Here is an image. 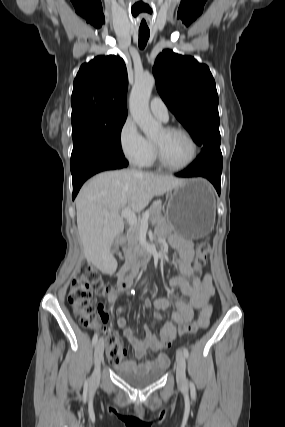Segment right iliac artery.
I'll return each instance as SVG.
<instances>
[{"mask_svg":"<svg viewBox=\"0 0 285 427\" xmlns=\"http://www.w3.org/2000/svg\"><path fill=\"white\" fill-rule=\"evenodd\" d=\"M97 340H98V335L97 333H95L92 339V344L95 345L97 343Z\"/></svg>","mask_w":285,"mask_h":427,"instance_id":"obj_1","label":"right iliac artery"}]
</instances>
